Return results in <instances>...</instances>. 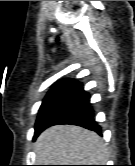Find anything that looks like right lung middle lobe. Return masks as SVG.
<instances>
[{
    "label": "right lung middle lobe",
    "mask_w": 135,
    "mask_h": 166,
    "mask_svg": "<svg viewBox=\"0 0 135 166\" xmlns=\"http://www.w3.org/2000/svg\"><path fill=\"white\" fill-rule=\"evenodd\" d=\"M72 98L69 88L47 95L39 109L35 135L66 111Z\"/></svg>",
    "instance_id": "dd1d6c3e"
}]
</instances>
